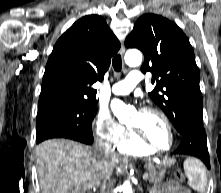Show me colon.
I'll return each mask as SVG.
<instances>
[{"mask_svg": "<svg viewBox=\"0 0 221 193\" xmlns=\"http://www.w3.org/2000/svg\"><path fill=\"white\" fill-rule=\"evenodd\" d=\"M175 176L178 180H180V181L183 180V174L181 173V171L177 170L175 172Z\"/></svg>", "mask_w": 221, "mask_h": 193, "instance_id": "1", "label": "colon"}]
</instances>
